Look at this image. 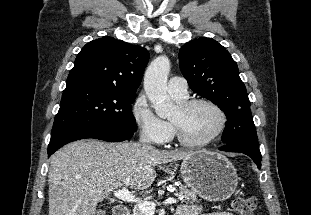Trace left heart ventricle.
I'll list each match as a JSON object with an SVG mask.
<instances>
[{
    "instance_id": "1",
    "label": "left heart ventricle",
    "mask_w": 311,
    "mask_h": 215,
    "mask_svg": "<svg viewBox=\"0 0 311 215\" xmlns=\"http://www.w3.org/2000/svg\"><path fill=\"white\" fill-rule=\"evenodd\" d=\"M170 119L177 123L184 136L193 142H199L211 136L219 125V115L210 106L199 104L186 112L175 108Z\"/></svg>"
}]
</instances>
